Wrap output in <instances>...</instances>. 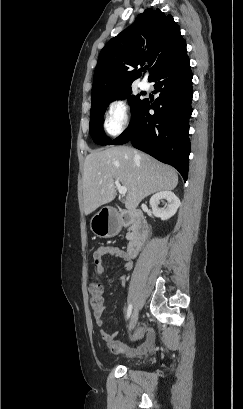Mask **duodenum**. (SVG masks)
Returning a JSON list of instances; mask_svg holds the SVG:
<instances>
[{
    "label": "duodenum",
    "mask_w": 243,
    "mask_h": 409,
    "mask_svg": "<svg viewBox=\"0 0 243 409\" xmlns=\"http://www.w3.org/2000/svg\"><path fill=\"white\" fill-rule=\"evenodd\" d=\"M113 211H116V209H113ZM122 221L124 224L128 223L132 224V230L130 232L127 253L130 257H135L139 254L143 242L147 237L148 234L147 221L143 213L137 209L125 212L122 215Z\"/></svg>",
    "instance_id": "duodenum-1"
}]
</instances>
